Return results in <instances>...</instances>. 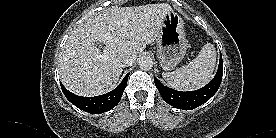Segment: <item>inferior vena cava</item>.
Here are the masks:
<instances>
[{"instance_id": "inferior-vena-cava-1", "label": "inferior vena cava", "mask_w": 276, "mask_h": 138, "mask_svg": "<svg viewBox=\"0 0 276 138\" xmlns=\"http://www.w3.org/2000/svg\"><path fill=\"white\" fill-rule=\"evenodd\" d=\"M135 59L136 58L134 55L126 54V55H123V57L121 58V62L123 63L124 66H131L133 65Z\"/></svg>"}]
</instances>
